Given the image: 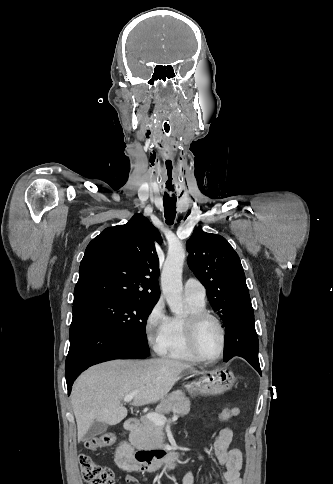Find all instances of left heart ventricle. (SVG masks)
Listing matches in <instances>:
<instances>
[{
  "label": "left heart ventricle",
  "instance_id": "b2bd125f",
  "mask_svg": "<svg viewBox=\"0 0 333 484\" xmlns=\"http://www.w3.org/2000/svg\"><path fill=\"white\" fill-rule=\"evenodd\" d=\"M197 344L200 353L206 358H214L218 354L221 336L213 321L207 320L202 323L198 331Z\"/></svg>",
  "mask_w": 333,
  "mask_h": 484
}]
</instances>
